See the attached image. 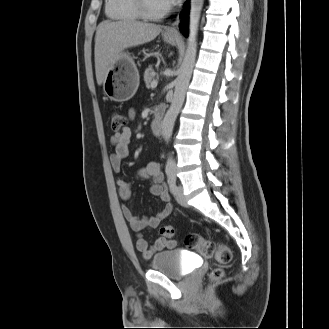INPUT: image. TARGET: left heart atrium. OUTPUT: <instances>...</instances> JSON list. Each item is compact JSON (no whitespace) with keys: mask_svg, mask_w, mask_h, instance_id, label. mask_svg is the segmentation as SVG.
Here are the masks:
<instances>
[{"mask_svg":"<svg viewBox=\"0 0 329 329\" xmlns=\"http://www.w3.org/2000/svg\"><path fill=\"white\" fill-rule=\"evenodd\" d=\"M168 7L178 3L179 0H164Z\"/></svg>","mask_w":329,"mask_h":329,"instance_id":"obj_1","label":"left heart atrium"}]
</instances>
